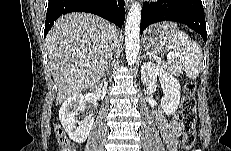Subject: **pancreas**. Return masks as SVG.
I'll use <instances>...</instances> for the list:
<instances>
[{
    "instance_id": "obj_1",
    "label": "pancreas",
    "mask_w": 231,
    "mask_h": 151,
    "mask_svg": "<svg viewBox=\"0 0 231 151\" xmlns=\"http://www.w3.org/2000/svg\"><path fill=\"white\" fill-rule=\"evenodd\" d=\"M159 65H161L159 63ZM162 68L166 69L169 73L179 75L182 73V66L179 60H175L168 64H163Z\"/></svg>"
}]
</instances>
